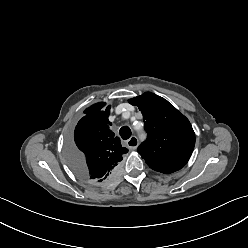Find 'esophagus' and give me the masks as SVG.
<instances>
[{
	"label": "esophagus",
	"mask_w": 248,
	"mask_h": 248,
	"mask_svg": "<svg viewBox=\"0 0 248 248\" xmlns=\"http://www.w3.org/2000/svg\"><path fill=\"white\" fill-rule=\"evenodd\" d=\"M139 144V140L136 136H132L128 141H127V146L131 150H135Z\"/></svg>",
	"instance_id": "esophagus-1"
}]
</instances>
